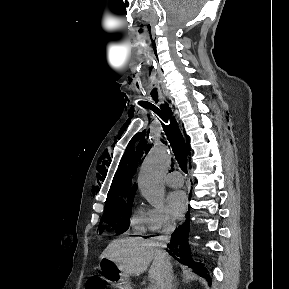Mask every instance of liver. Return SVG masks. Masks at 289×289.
<instances>
[{"mask_svg": "<svg viewBox=\"0 0 289 289\" xmlns=\"http://www.w3.org/2000/svg\"><path fill=\"white\" fill-rule=\"evenodd\" d=\"M162 253L165 259L170 263V256L167 252L155 248L147 240L137 237L122 238L112 241L101 254L100 258L112 260L118 269L126 275L139 276L144 273L148 267V277L156 284L162 275Z\"/></svg>", "mask_w": 289, "mask_h": 289, "instance_id": "obj_1", "label": "liver"}]
</instances>
